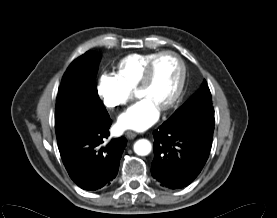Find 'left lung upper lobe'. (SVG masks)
I'll return each instance as SVG.
<instances>
[{"label":"left lung upper lobe","mask_w":277,"mask_h":218,"mask_svg":"<svg viewBox=\"0 0 277 218\" xmlns=\"http://www.w3.org/2000/svg\"><path fill=\"white\" fill-rule=\"evenodd\" d=\"M198 116H214L211 93L205 80L201 90L178 109L169 118V121L185 122Z\"/></svg>","instance_id":"left-lung-upper-lobe-1"}]
</instances>
